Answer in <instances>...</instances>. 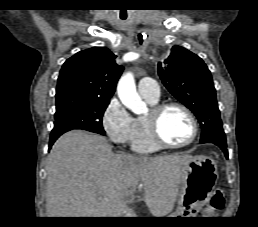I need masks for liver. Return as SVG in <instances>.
Masks as SVG:
<instances>
[{
  "instance_id": "1",
  "label": "liver",
  "mask_w": 258,
  "mask_h": 227,
  "mask_svg": "<svg viewBox=\"0 0 258 227\" xmlns=\"http://www.w3.org/2000/svg\"><path fill=\"white\" fill-rule=\"evenodd\" d=\"M192 156L114 154L107 139L81 130L62 135L47 159V217H133L128 207L142 184L154 217L174 208L181 166Z\"/></svg>"
}]
</instances>
